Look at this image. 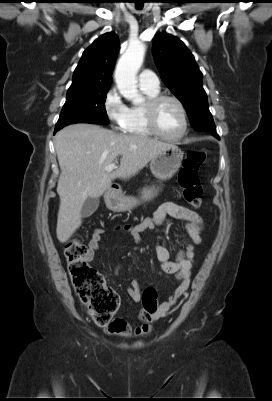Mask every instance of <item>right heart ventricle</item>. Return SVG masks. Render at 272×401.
Returning <instances> with one entry per match:
<instances>
[{"mask_svg": "<svg viewBox=\"0 0 272 401\" xmlns=\"http://www.w3.org/2000/svg\"><path fill=\"white\" fill-rule=\"evenodd\" d=\"M143 93L146 95L147 100L159 95V89L151 90L141 88ZM145 104L134 105L129 108L128 118L122 131L129 135L138 137H151L154 134L150 131L145 117Z\"/></svg>", "mask_w": 272, "mask_h": 401, "instance_id": "right-heart-ventricle-1", "label": "right heart ventricle"}]
</instances>
